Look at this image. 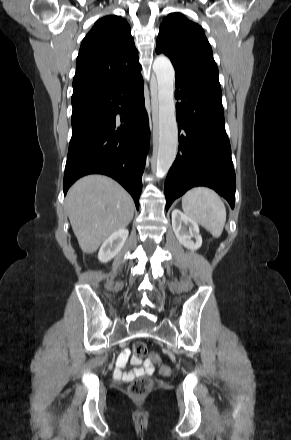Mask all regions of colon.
<instances>
[{"label": "colon", "mask_w": 291, "mask_h": 440, "mask_svg": "<svg viewBox=\"0 0 291 440\" xmlns=\"http://www.w3.org/2000/svg\"><path fill=\"white\" fill-rule=\"evenodd\" d=\"M133 353L135 359H142L148 356V350L146 344L141 341H137L133 345ZM150 358L159 365V370L161 374H166L169 372V368L163 365L156 355H150ZM152 384L146 378H138L129 385V394L135 399L144 398L151 390Z\"/></svg>", "instance_id": "1"}]
</instances>
